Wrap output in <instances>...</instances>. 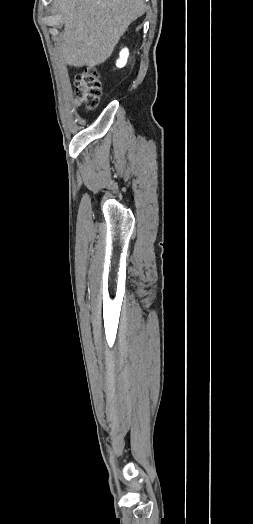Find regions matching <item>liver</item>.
Wrapping results in <instances>:
<instances>
[{
    "label": "liver",
    "instance_id": "1",
    "mask_svg": "<svg viewBox=\"0 0 253 524\" xmlns=\"http://www.w3.org/2000/svg\"><path fill=\"white\" fill-rule=\"evenodd\" d=\"M64 19L61 52L70 66L104 63L129 25L144 14L143 0H57Z\"/></svg>",
    "mask_w": 253,
    "mask_h": 524
}]
</instances>
